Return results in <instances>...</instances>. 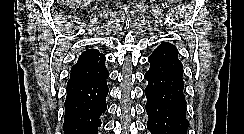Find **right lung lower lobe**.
<instances>
[{"label":"right lung lower lobe","mask_w":244,"mask_h":134,"mask_svg":"<svg viewBox=\"0 0 244 134\" xmlns=\"http://www.w3.org/2000/svg\"><path fill=\"white\" fill-rule=\"evenodd\" d=\"M108 76L67 84L64 134H98L100 117L107 109Z\"/></svg>","instance_id":"98d812e1"}]
</instances>
